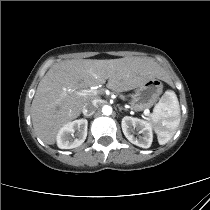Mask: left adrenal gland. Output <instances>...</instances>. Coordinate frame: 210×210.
<instances>
[{"label":"left adrenal gland","mask_w":210,"mask_h":210,"mask_svg":"<svg viewBox=\"0 0 210 210\" xmlns=\"http://www.w3.org/2000/svg\"><path fill=\"white\" fill-rule=\"evenodd\" d=\"M120 111L125 110L123 107L119 106L118 107Z\"/></svg>","instance_id":"1"}]
</instances>
